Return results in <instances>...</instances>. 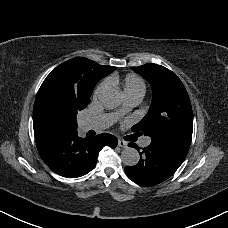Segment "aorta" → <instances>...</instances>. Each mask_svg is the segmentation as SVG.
<instances>
[{"instance_id": "aorta-1", "label": "aorta", "mask_w": 228, "mask_h": 228, "mask_svg": "<svg viewBox=\"0 0 228 228\" xmlns=\"http://www.w3.org/2000/svg\"><path fill=\"white\" fill-rule=\"evenodd\" d=\"M99 100L105 108L114 109L121 104L122 96L117 89L106 87L100 92ZM121 159L126 166H134L139 162L140 155L135 148L126 147L121 152Z\"/></svg>"}]
</instances>
